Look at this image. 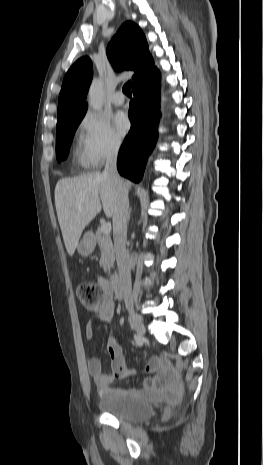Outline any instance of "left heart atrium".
<instances>
[{"mask_svg": "<svg viewBox=\"0 0 263 465\" xmlns=\"http://www.w3.org/2000/svg\"><path fill=\"white\" fill-rule=\"evenodd\" d=\"M114 125L120 135H125L130 129V121L128 117L122 112H118L115 115Z\"/></svg>", "mask_w": 263, "mask_h": 465, "instance_id": "1", "label": "left heart atrium"}]
</instances>
